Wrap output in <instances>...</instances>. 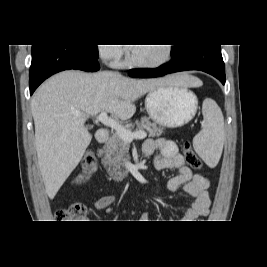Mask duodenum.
I'll list each match as a JSON object with an SVG mask.
<instances>
[{"instance_id": "obj_1", "label": "duodenum", "mask_w": 267, "mask_h": 267, "mask_svg": "<svg viewBox=\"0 0 267 267\" xmlns=\"http://www.w3.org/2000/svg\"><path fill=\"white\" fill-rule=\"evenodd\" d=\"M109 136H110V133L107 129H100L98 132H97V142L100 143V144H104L108 141L109 139ZM119 177H124L123 174H118Z\"/></svg>"}]
</instances>
